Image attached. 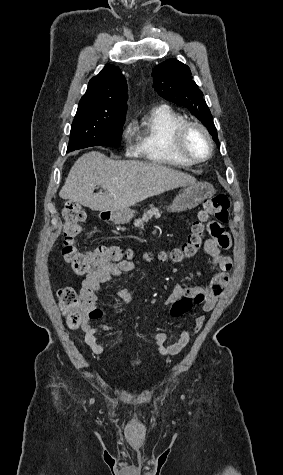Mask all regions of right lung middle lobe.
I'll use <instances>...</instances> for the list:
<instances>
[{"label":"right lung middle lobe","instance_id":"right-lung-middle-lobe-1","mask_svg":"<svg viewBox=\"0 0 283 475\" xmlns=\"http://www.w3.org/2000/svg\"><path fill=\"white\" fill-rule=\"evenodd\" d=\"M126 105L79 104L67 152L90 146L119 147Z\"/></svg>","mask_w":283,"mask_h":475}]
</instances>
